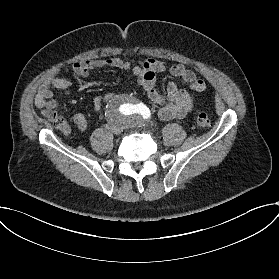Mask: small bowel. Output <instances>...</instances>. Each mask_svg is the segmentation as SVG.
<instances>
[{"instance_id":"1","label":"small bowel","mask_w":279,"mask_h":279,"mask_svg":"<svg viewBox=\"0 0 279 279\" xmlns=\"http://www.w3.org/2000/svg\"><path fill=\"white\" fill-rule=\"evenodd\" d=\"M103 69H118L132 72L140 85L146 91L151 102L157 107L158 117L163 121L182 118L188 115L196 100V93L206 89V83L197 74L184 64H175L168 71L171 75L181 78L191 88V92L181 90L179 86L171 82L167 86V98L156 89V74L167 70L164 62L158 59H147L133 65L129 61L119 57L107 59H87L73 65L72 70L78 77H87L91 71ZM73 82L59 76L58 72L49 76L40 85L35 105L46 110H55L59 103L53 98V89L62 90L66 95L70 94ZM108 95L97 96L93 100V110L100 112ZM75 126L84 131L87 128V120L83 114H75L72 118Z\"/></svg>"}]
</instances>
